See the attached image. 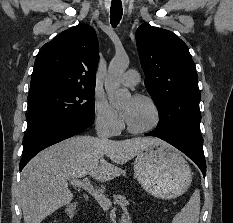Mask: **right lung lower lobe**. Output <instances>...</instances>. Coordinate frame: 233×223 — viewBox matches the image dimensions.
I'll use <instances>...</instances> for the list:
<instances>
[{
	"label": "right lung lower lobe",
	"mask_w": 233,
	"mask_h": 223,
	"mask_svg": "<svg viewBox=\"0 0 233 223\" xmlns=\"http://www.w3.org/2000/svg\"><path fill=\"white\" fill-rule=\"evenodd\" d=\"M94 122V114H82L58 123L31 139L23 147V157L20 161V171L41 150L64 139L81 133Z\"/></svg>",
	"instance_id": "obj_1"
}]
</instances>
